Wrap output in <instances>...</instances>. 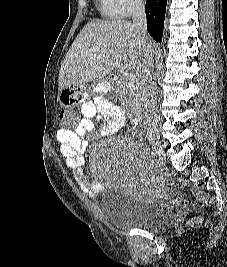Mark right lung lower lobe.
I'll list each match as a JSON object with an SVG mask.
<instances>
[{"mask_svg": "<svg viewBox=\"0 0 227 267\" xmlns=\"http://www.w3.org/2000/svg\"><path fill=\"white\" fill-rule=\"evenodd\" d=\"M167 0H147L145 6L147 30L156 42L162 41Z\"/></svg>", "mask_w": 227, "mask_h": 267, "instance_id": "98d812e1", "label": "right lung lower lobe"}]
</instances>
